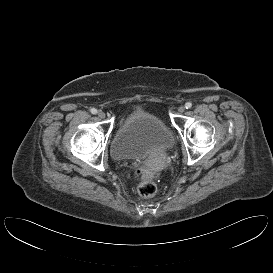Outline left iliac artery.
Returning a JSON list of instances; mask_svg holds the SVG:
<instances>
[{
  "label": "left iliac artery",
  "instance_id": "44dca946",
  "mask_svg": "<svg viewBox=\"0 0 273 273\" xmlns=\"http://www.w3.org/2000/svg\"><path fill=\"white\" fill-rule=\"evenodd\" d=\"M191 107H192V103L187 102V103L185 104V108H186V109H190Z\"/></svg>",
  "mask_w": 273,
  "mask_h": 273
}]
</instances>
